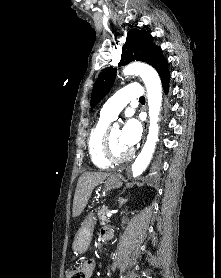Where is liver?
<instances>
[{
	"label": "liver",
	"mask_w": 221,
	"mask_h": 278,
	"mask_svg": "<svg viewBox=\"0 0 221 278\" xmlns=\"http://www.w3.org/2000/svg\"><path fill=\"white\" fill-rule=\"evenodd\" d=\"M109 176L110 173L85 172L79 177L73 200V217H78L83 212L93 189Z\"/></svg>",
	"instance_id": "liver-1"
}]
</instances>
